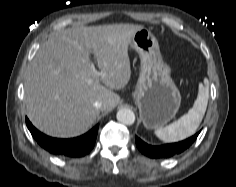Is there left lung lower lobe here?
<instances>
[{
	"label": "left lung lower lobe",
	"instance_id": "0a47b994",
	"mask_svg": "<svg viewBox=\"0 0 236 187\" xmlns=\"http://www.w3.org/2000/svg\"><path fill=\"white\" fill-rule=\"evenodd\" d=\"M198 134L199 133L178 143L165 144L161 146L149 145L140 138L136 137V146L142 154L148 156L149 158H169L186 150L196 140Z\"/></svg>",
	"mask_w": 236,
	"mask_h": 187
}]
</instances>
